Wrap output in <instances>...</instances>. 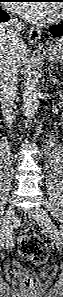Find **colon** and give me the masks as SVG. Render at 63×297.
<instances>
[{"label":"colon","mask_w":63,"mask_h":297,"mask_svg":"<svg viewBox=\"0 0 63 297\" xmlns=\"http://www.w3.org/2000/svg\"><path fill=\"white\" fill-rule=\"evenodd\" d=\"M18 249L21 255L35 264H42L47 259V247L42 239L34 235H23L19 238ZM27 286H31V278L26 279Z\"/></svg>","instance_id":"1"}]
</instances>
